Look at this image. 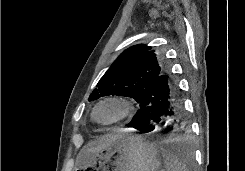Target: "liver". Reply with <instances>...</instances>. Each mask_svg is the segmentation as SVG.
Returning a JSON list of instances; mask_svg holds the SVG:
<instances>
[{"instance_id":"liver-1","label":"liver","mask_w":245,"mask_h":171,"mask_svg":"<svg viewBox=\"0 0 245 171\" xmlns=\"http://www.w3.org/2000/svg\"><path fill=\"white\" fill-rule=\"evenodd\" d=\"M117 136H105L97 144L89 146L83 150V153L88 155L95 152H98L112 144Z\"/></svg>"}]
</instances>
